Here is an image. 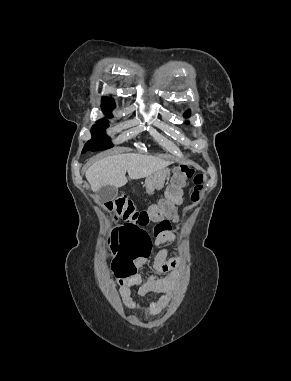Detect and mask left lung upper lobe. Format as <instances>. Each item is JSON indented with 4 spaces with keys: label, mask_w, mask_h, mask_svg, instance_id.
I'll return each instance as SVG.
<instances>
[{
    "label": "left lung upper lobe",
    "mask_w": 291,
    "mask_h": 381,
    "mask_svg": "<svg viewBox=\"0 0 291 381\" xmlns=\"http://www.w3.org/2000/svg\"><path fill=\"white\" fill-rule=\"evenodd\" d=\"M189 114V112H185V115H188Z\"/></svg>",
    "instance_id": "obj_1"
}]
</instances>
